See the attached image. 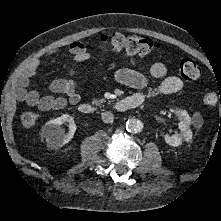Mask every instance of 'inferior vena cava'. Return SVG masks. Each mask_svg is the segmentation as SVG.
<instances>
[{
  "label": "inferior vena cava",
  "mask_w": 221,
  "mask_h": 221,
  "mask_svg": "<svg viewBox=\"0 0 221 221\" xmlns=\"http://www.w3.org/2000/svg\"><path fill=\"white\" fill-rule=\"evenodd\" d=\"M101 117L105 123H112L114 120V115L111 112H103Z\"/></svg>",
  "instance_id": "obj_1"
}]
</instances>
